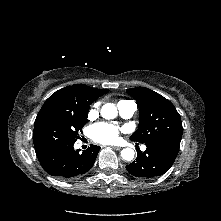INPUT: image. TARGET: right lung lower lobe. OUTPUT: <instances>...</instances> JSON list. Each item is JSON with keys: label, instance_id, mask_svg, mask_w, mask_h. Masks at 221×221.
Segmentation results:
<instances>
[{"label": "right lung lower lobe", "instance_id": "98d812e1", "mask_svg": "<svg viewBox=\"0 0 221 221\" xmlns=\"http://www.w3.org/2000/svg\"><path fill=\"white\" fill-rule=\"evenodd\" d=\"M73 144L56 145L36 153L43 169L60 179H75L88 172L100 147L90 145L87 150L79 153L80 150H74Z\"/></svg>", "mask_w": 221, "mask_h": 221}]
</instances>
